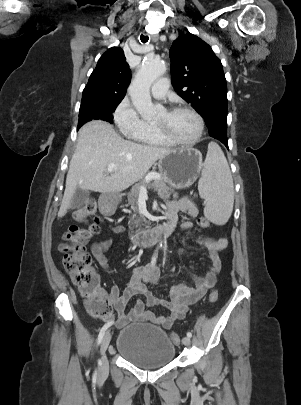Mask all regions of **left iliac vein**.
<instances>
[{
	"instance_id": "left-iliac-vein-1",
	"label": "left iliac vein",
	"mask_w": 301,
	"mask_h": 405,
	"mask_svg": "<svg viewBox=\"0 0 301 405\" xmlns=\"http://www.w3.org/2000/svg\"><path fill=\"white\" fill-rule=\"evenodd\" d=\"M182 343H183L185 346H189L190 343H191V340H190V338H189L188 336H186V337H184V338L182 339Z\"/></svg>"
}]
</instances>
